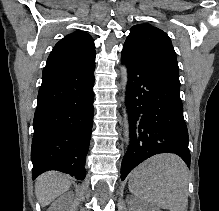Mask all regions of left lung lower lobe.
I'll return each mask as SVG.
<instances>
[{
  "label": "left lung lower lobe",
  "instance_id": "0a47b994",
  "mask_svg": "<svg viewBox=\"0 0 219 211\" xmlns=\"http://www.w3.org/2000/svg\"><path fill=\"white\" fill-rule=\"evenodd\" d=\"M121 62L128 68L125 103L130 129L121 180L142 161L159 153H175L190 166L180 86L125 54Z\"/></svg>",
  "mask_w": 219,
  "mask_h": 211
}]
</instances>
